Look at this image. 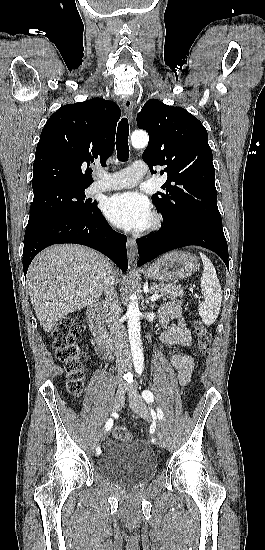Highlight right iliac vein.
<instances>
[{
    "mask_svg": "<svg viewBox=\"0 0 265 550\" xmlns=\"http://www.w3.org/2000/svg\"><path fill=\"white\" fill-rule=\"evenodd\" d=\"M124 405V390L121 388L116 393L113 402H112V411H119Z\"/></svg>",
    "mask_w": 265,
    "mask_h": 550,
    "instance_id": "right-iliac-vein-1",
    "label": "right iliac vein"
}]
</instances>
